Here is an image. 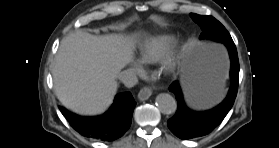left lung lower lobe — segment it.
Listing matches in <instances>:
<instances>
[{"label":"left lung lower lobe","mask_w":279,"mask_h":148,"mask_svg":"<svg viewBox=\"0 0 279 148\" xmlns=\"http://www.w3.org/2000/svg\"><path fill=\"white\" fill-rule=\"evenodd\" d=\"M222 42L226 45L231 60V86L227 97L221 104L209 111L195 112L186 107L177 81L173 82L169 88L175 94L178 103L175 115L168 120V127L180 139H192L209 134L223 121L234 104L238 91V55L232 39Z\"/></svg>","instance_id":"0a47b994"}]
</instances>
